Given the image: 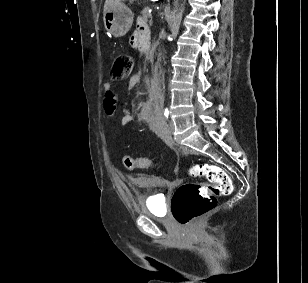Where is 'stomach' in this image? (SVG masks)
I'll list each match as a JSON object with an SVG mask.
<instances>
[{
	"label": "stomach",
	"instance_id": "0dacf381",
	"mask_svg": "<svg viewBox=\"0 0 308 283\" xmlns=\"http://www.w3.org/2000/svg\"><path fill=\"white\" fill-rule=\"evenodd\" d=\"M105 29L114 37L124 36L133 23V13L123 3L111 6L103 17Z\"/></svg>",
	"mask_w": 308,
	"mask_h": 283
}]
</instances>
